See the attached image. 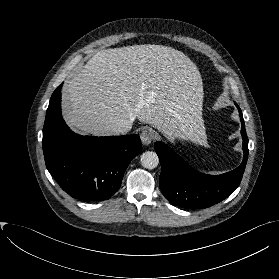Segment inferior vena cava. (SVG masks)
<instances>
[{
  "label": "inferior vena cava",
  "instance_id": "inferior-vena-cava-1",
  "mask_svg": "<svg viewBox=\"0 0 279 279\" xmlns=\"http://www.w3.org/2000/svg\"><path fill=\"white\" fill-rule=\"evenodd\" d=\"M132 128V125H126L123 128H121L119 130L120 134H126L127 132H129Z\"/></svg>",
  "mask_w": 279,
  "mask_h": 279
}]
</instances>
